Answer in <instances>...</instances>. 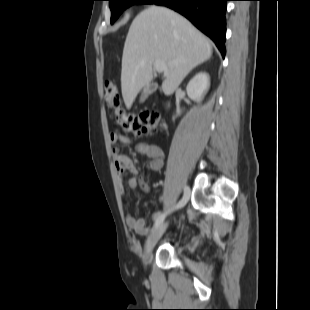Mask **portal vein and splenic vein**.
Instances as JSON below:
<instances>
[{"mask_svg":"<svg viewBox=\"0 0 310 310\" xmlns=\"http://www.w3.org/2000/svg\"><path fill=\"white\" fill-rule=\"evenodd\" d=\"M154 68L158 73L166 72L167 71V65L163 61H156L154 63Z\"/></svg>","mask_w":310,"mask_h":310,"instance_id":"portal-vein-and-splenic-vein-1","label":"portal vein and splenic vein"}]
</instances>
